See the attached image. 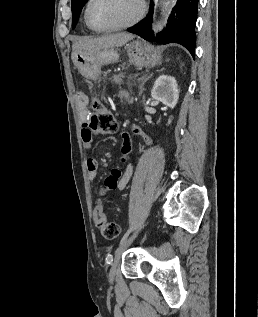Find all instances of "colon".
Instances as JSON below:
<instances>
[{
	"label": "colon",
	"mask_w": 258,
	"mask_h": 317,
	"mask_svg": "<svg viewBox=\"0 0 258 317\" xmlns=\"http://www.w3.org/2000/svg\"><path fill=\"white\" fill-rule=\"evenodd\" d=\"M84 128L88 129L92 134H113L118 130V121L111 111L94 100L89 105ZM94 220L100 234L105 239L112 240L119 236V225L107 219L104 207L100 201L94 209Z\"/></svg>",
	"instance_id": "5ec220e1"
}]
</instances>
